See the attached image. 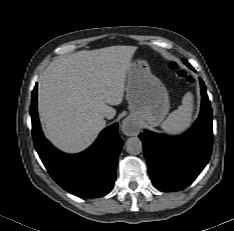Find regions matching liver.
<instances>
[{"label":"liver","mask_w":234,"mask_h":231,"mask_svg":"<svg viewBox=\"0 0 234 231\" xmlns=\"http://www.w3.org/2000/svg\"><path fill=\"white\" fill-rule=\"evenodd\" d=\"M134 46L83 50L53 60L40 75L38 112L44 133L67 153L88 148L123 101Z\"/></svg>","instance_id":"obj_1"}]
</instances>
